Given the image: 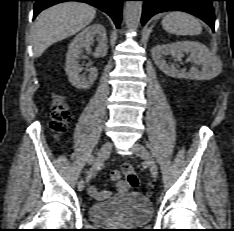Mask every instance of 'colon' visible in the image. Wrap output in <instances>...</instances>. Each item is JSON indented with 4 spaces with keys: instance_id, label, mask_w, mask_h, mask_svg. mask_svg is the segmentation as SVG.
Masks as SVG:
<instances>
[{
    "instance_id": "obj_1",
    "label": "colon",
    "mask_w": 234,
    "mask_h": 231,
    "mask_svg": "<svg viewBox=\"0 0 234 231\" xmlns=\"http://www.w3.org/2000/svg\"><path fill=\"white\" fill-rule=\"evenodd\" d=\"M69 120L70 112L66 104L61 97H55L52 103L51 128L57 133H63L67 128ZM121 176L124 177L125 182L129 186L136 187L138 185L137 173L130 164L125 163L120 170H115L111 173L113 180H118Z\"/></svg>"
}]
</instances>
